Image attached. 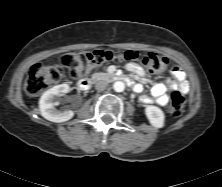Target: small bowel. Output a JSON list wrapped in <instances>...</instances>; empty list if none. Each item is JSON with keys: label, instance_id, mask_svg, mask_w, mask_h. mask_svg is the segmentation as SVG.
I'll list each match as a JSON object with an SVG mask.
<instances>
[{"label": "small bowel", "instance_id": "small-bowel-1", "mask_svg": "<svg viewBox=\"0 0 222 187\" xmlns=\"http://www.w3.org/2000/svg\"><path fill=\"white\" fill-rule=\"evenodd\" d=\"M128 69L139 75V76H144L145 73L144 71L137 65H129ZM172 73L176 79L179 80L178 84H174L178 86L179 89H181L184 92H187L189 90V84L185 79V73L180 67H174L172 69ZM136 90H141V86L138 85L136 86ZM141 102L143 104H149L151 102H156L157 104L164 106L168 103V95H167V87L164 83H155L152 85L150 94L148 96H143L141 98Z\"/></svg>", "mask_w": 222, "mask_h": 187}]
</instances>
